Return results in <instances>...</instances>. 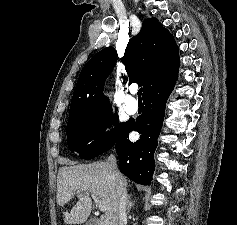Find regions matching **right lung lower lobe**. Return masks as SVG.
<instances>
[{
	"label": "right lung lower lobe",
	"mask_w": 237,
	"mask_h": 225,
	"mask_svg": "<svg viewBox=\"0 0 237 225\" xmlns=\"http://www.w3.org/2000/svg\"><path fill=\"white\" fill-rule=\"evenodd\" d=\"M176 80L164 82L143 96L144 111L135 121H128L115 143L120 171L138 184H150L155 170L154 152L164 120L167 99ZM141 134L140 139L129 141L130 131Z\"/></svg>",
	"instance_id": "obj_1"
}]
</instances>
